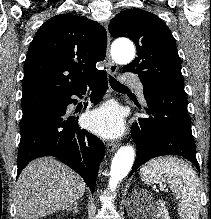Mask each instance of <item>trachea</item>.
Instances as JSON below:
<instances>
[{
  "label": "trachea",
  "instance_id": "trachea-1",
  "mask_svg": "<svg viewBox=\"0 0 211 219\" xmlns=\"http://www.w3.org/2000/svg\"><path fill=\"white\" fill-rule=\"evenodd\" d=\"M109 82L110 85L113 89L115 90H125L128 89L127 86H124L123 84H121L120 82H118L115 78H113L112 76H109Z\"/></svg>",
  "mask_w": 211,
  "mask_h": 219
}]
</instances>
